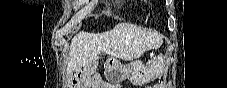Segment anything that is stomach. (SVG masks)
Wrapping results in <instances>:
<instances>
[{"instance_id":"obj_1","label":"stomach","mask_w":227,"mask_h":88,"mask_svg":"<svg viewBox=\"0 0 227 88\" xmlns=\"http://www.w3.org/2000/svg\"><path fill=\"white\" fill-rule=\"evenodd\" d=\"M164 70L165 61L162 55L146 64L135 61L123 65L115 57H110L106 62V75L114 83H120L128 78L134 85H143L162 75Z\"/></svg>"}]
</instances>
